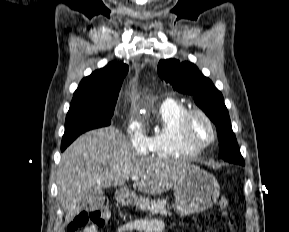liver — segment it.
<instances>
[{
  "instance_id": "obj_1",
  "label": "liver",
  "mask_w": 289,
  "mask_h": 232,
  "mask_svg": "<svg viewBox=\"0 0 289 232\" xmlns=\"http://www.w3.org/2000/svg\"><path fill=\"white\" fill-rule=\"evenodd\" d=\"M194 166L181 161L142 157L132 152L126 136L115 127L84 133L62 154L57 172L58 199L70 223L83 209L85 193L124 186L130 177L139 180L134 189L162 194L186 176Z\"/></svg>"
}]
</instances>
